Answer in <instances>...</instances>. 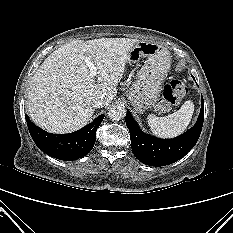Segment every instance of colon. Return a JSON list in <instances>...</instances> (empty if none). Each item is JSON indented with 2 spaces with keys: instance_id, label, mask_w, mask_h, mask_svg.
<instances>
[{
  "instance_id": "5ec220e1",
  "label": "colon",
  "mask_w": 233,
  "mask_h": 233,
  "mask_svg": "<svg viewBox=\"0 0 233 233\" xmlns=\"http://www.w3.org/2000/svg\"><path fill=\"white\" fill-rule=\"evenodd\" d=\"M188 89L184 82L179 78L172 79L162 91L161 99L156 105V109L160 113L167 112L171 107L177 104L182 97L186 95Z\"/></svg>"
}]
</instances>
